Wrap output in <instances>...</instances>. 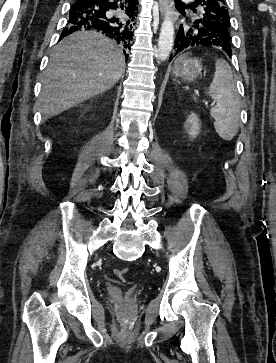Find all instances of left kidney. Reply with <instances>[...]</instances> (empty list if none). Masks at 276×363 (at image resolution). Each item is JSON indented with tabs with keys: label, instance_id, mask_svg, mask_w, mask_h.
<instances>
[{
	"label": "left kidney",
	"instance_id": "left-kidney-1",
	"mask_svg": "<svg viewBox=\"0 0 276 363\" xmlns=\"http://www.w3.org/2000/svg\"><path fill=\"white\" fill-rule=\"evenodd\" d=\"M188 134L195 138L200 132V120L195 113H191L187 119Z\"/></svg>",
	"mask_w": 276,
	"mask_h": 363
}]
</instances>
